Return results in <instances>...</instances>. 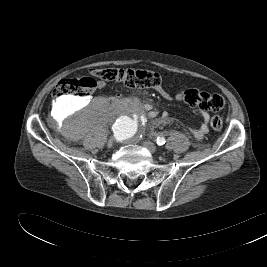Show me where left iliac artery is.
Returning <instances> with one entry per match:
<instances>
[{"label":"left iliac artery","mask_w":267,"mask_h":267,"mask_svg":"<svg viewBox=\"0 0 267 267\" xmlns=\"http://www.w3.org/2000/svg\"><path fill=\"white\" fill-rule=\"evenodd\" d=\"M155 141L158 145H163L165 144L166 139L164 137H157Z\"/></svg>","instance_id":"44dca946"}]
</instances>
